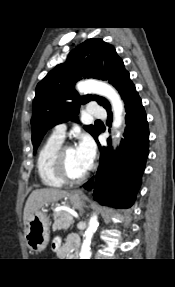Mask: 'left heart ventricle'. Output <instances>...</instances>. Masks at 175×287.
Wrapping results in <instances>:
<instances>
[{
	"instance_id": "obj_1",
	"label": "left heart ventricle",
	"mask_w": 175,
	"mask_h": 287,
	"mask_svg": "<svg viewBox=\"0 0 175 287\" xmlns=\"http://www.w3.org/2000/svg\"><path fill=\"white\" fill-rule=\"evenodd\" d=\"M65 166L68 174L72 177H77L88 169L75 147L66 151Z\"/></svg>"
}]
</instances>
